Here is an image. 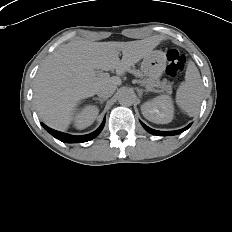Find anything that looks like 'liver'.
Returning a JSON list of instances; mask_svg holds the SVG:
<instances>
[{
  "label": "liver",
  "mask_w": 232,
  "mask_h": 232,
  "mask_svg": "<svg viewBox=\"0 0 232 232\" xmlns=\"http://www.w3.org/2000/svg\"><path fill=\"white\" fill-rule=\"evenodd\" d=\"M158 43L152 37L131 42L75 38L63 45L44 61L35 78L34 98L41 121L64 131L72 121L71 111L81 99L95 95L103 81L120 83L119 78H101L96 69L123 72Z\"/></svg>",
  "instance_id": "6515ba94"
}]
</instances>
